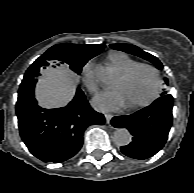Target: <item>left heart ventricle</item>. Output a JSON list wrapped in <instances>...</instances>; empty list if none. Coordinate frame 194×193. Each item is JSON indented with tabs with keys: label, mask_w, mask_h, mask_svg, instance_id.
Wrapping results in <instances>:
<instances>
[{
	"label": "left heart ventricle",
	"mask_w": 194,
	"mask_h": 193,
	"mask_svg": "<svg viewBox=\"0 0 194 193\" xmlns=\"http://www.w3.org/2000/svg\"><path fill=\"white\" fill-rule=\"evenodd\" d=\"M155 84L153 73L145 68L138 69L129 78H118L114 87L122 92L125 105L139 103L152 93Z\"/></svg>",
	"instance_id": "obj_1"
}]
</instances>
